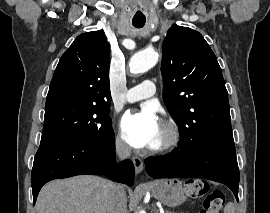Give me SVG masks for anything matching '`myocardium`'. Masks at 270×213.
I'll return each instance as SVG.
<instances>
[{
    "instance_id": "1",
    "label": "myocardium",
    "mask_w": 270,
    "mask_h": 213,
    "mask_svg": "<svg viewBox=\"0 0 270 213\" xmlns=\"http://www.w3.org/2000/svg\"><path fill=\"white\" fill-rule=\"evenodd\" d=\"M162 138L160 142L150 148L153 154H161L175 148L180 142V130L177 124L170 120L161 121Z\"/></svg>"
}]
</instances>
